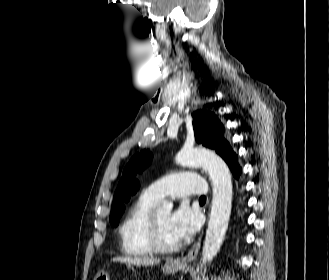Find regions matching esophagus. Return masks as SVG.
I'll list each match as a JSON object with an SVG mask.
<instances>
[{
	"label": "esophagus",
	"mask_w": 329,
	"mask_h": 280,
	"mask_svg": "<svg viewBox=\"0 0 329 280\" xmlns=\"http://www.w3.org/2000/svg\"><path fill=\"white\" fill-rule=\"evenodd\" d=\"M201 238H202V235H200L197 242L194 244V246L191 248V250L185 256L175 259L173 261V263L177 264V265H182V264H186L187 262L194 260L197 257L199 250H200Z\"/></svg>",
	"instance_id": "34e87169"
}]
</instances>
